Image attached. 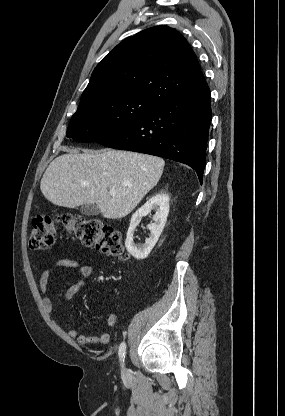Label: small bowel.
<instances>
[{
    "mask_svg": "<svg viewBox=\"0 0 285 416\" xmlns=\"http://www.w3.org/2000/svg\"><path fill=\"white\" fill-rule=\"evenodd\" d=\"M56 268H63L68 271H74L80 277L76 283L68 287L63 293L62 299L64 301L72 299L84 287V279L91 276L93 272V269L90 265L79 263L72 259L57 260L51 267L44 270L40 276L39 289L42 294L43 308L49 315L53 313L54 307L51 298L48 297L46 293L50 289L53 271ZM116 323L117 316L115 314L108 315L106 320L107 327L113 328ZM67 334L70 338L75 339L80 345H104L107 344L110 339V335L108 333H102L99 336H91L81 333L77 329H70L68 330Z\"/></svg>",
    "mask_w": 285,
    "mask_h": 416,
    "instance_id": "small-bowel-1",
    "label": "small bowel"
}]
</instances>
